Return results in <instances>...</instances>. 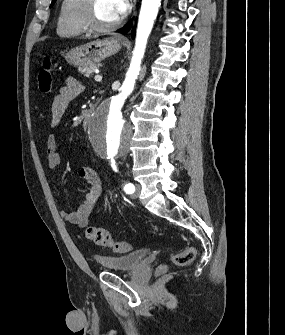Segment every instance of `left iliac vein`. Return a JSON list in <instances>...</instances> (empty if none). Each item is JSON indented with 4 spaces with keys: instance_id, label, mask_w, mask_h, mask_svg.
Segmentation results:
<instances>
[{
    "instance_id": "4c4485c4",
    "label": "left iliac vein",
    "mask_w": 285,
    "mask_h": 335,
    "mask_svg": "<svg viewBox=\"0 0 285 335\" xmlns=\"http://www.w3.org/2000/svg\"><path fill=\"white\" fill-rule=\"evenodd\" d=\"M140 191H141V186L139 184L136 185V189L132 195V198H136L139 194H140Z\"/></svg>"
}]
</instances>
